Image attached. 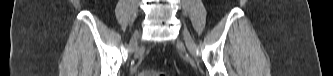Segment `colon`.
I'll return each mask as SVG.
<instances>
[{
	"instance_id": "5ec220e1",
	"label": "colon",
	"mask_w": 333,
	"mask_h": 76,
	"mask_svg": "<svg viewBox=\"0 0 333 76\" xmlns=\"http://www.w3.org/2000/svg\"><path fill=\"white\" fill-rule=\"evenodd\" d=\"M133 75H143V76H165L166 74H165V73H162V72H156V71H153V70H149V71H146L145 73H141V74L134 73Z\"/></svg>"
}]
</instances>
